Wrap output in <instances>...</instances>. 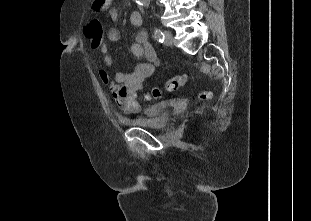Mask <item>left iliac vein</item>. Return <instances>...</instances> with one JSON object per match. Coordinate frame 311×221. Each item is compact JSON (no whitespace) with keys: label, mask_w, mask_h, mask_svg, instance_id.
Masks as SVG:
<instances>
[{"label":"left iliac vein","mask_w":311,"mask_h":221,"mask_svg":"<svg viewBox=\"0 0 311 221\" xmlns=\"http://www.w3.org/2000/svg\"><path fill=\"white\" fill-rule=\"evenodd\" d=\"M164 44L166 46H171L173 44V34L168 30L164 31Z\"/></svg>","instance_id":"obj_1"}]
</instances>
